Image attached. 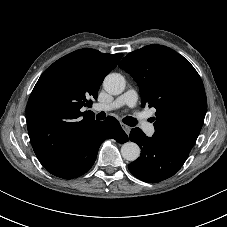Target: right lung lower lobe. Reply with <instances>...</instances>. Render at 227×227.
Wrapping results in <instances>:
<instances>
[{
    "label": "right lung lower lobe",
    "instance_id": "obj_1",
    "mask_svg": "<svg viewBox=\"0 0 227 227\" xmlns=\"http://www.w3.org/2000/svg\"><path fill=\"white\" fill-rule=\"evenodd\" d=\"M119 134L126 136L120 123L114 117L98 121L90 130L73 143L57 161L45 167L46 170L60 178L72 179L86 173L94 164L101 143L107 138Z\"/></svg>",
    "mask_w": 227,
    "mask_h": 227
}]
</instances>
